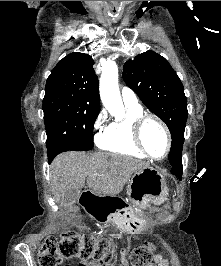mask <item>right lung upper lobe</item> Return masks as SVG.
<instances>
[{
    "instance_id": "cb5924a9",
    "label": "right lung upper lobe",
    "mask_w": 221,
    "mask_h": 266,
    "mask_svg": "<svg viewBox=\"0 0 221 266\" xmlns=\"http://www.w3.org/2000/svg\"><path fill=\"white\" fill-rule=\"evenodd\" d=\"M93 59L84 53L74 52L55 66L49 75L45 91L63 93L79 99L84 107L99 111L98 78L93 69Z\"/></svg>"
}]
</instances>
